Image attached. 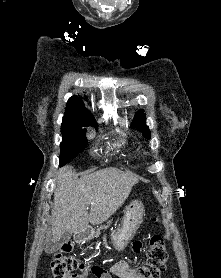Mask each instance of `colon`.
Returning a JSON list of instances; mask_svg holds the SVG:
<instances>
[{"instance_id": "obj_1", "label": "colon", "mask_w": 221, "mask_h": 278, "mask_svg": "<svg viewBox=\"0 0 221 278\" xmlns=\"http://www.w3.org/2000/svg\"><path fill=\"white\" fill-rule=\"evenodd\" d=\"M71 251V244L65 243L51 263L54 278H69L73 275H97L99 266L66 255ZM168 254L164 239L153 235L149 240L147 255L144 264L136 270L135 278H159L165 270Z\"/></svg>"}]
</instances>
